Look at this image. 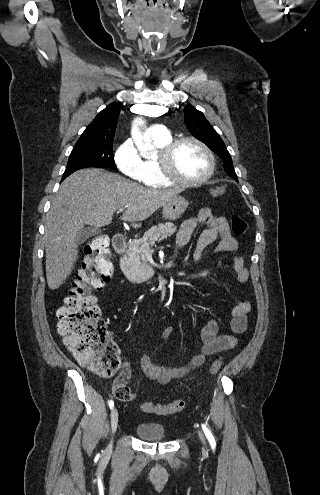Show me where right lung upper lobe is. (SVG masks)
<instances>
[{"mask_svg": "<svg viewBox=\"0 0 320 495\" xmlns=\"http://www.w3.org/2000/svg\"><path fill=\"white\" fill-rule=\"evenodd\" d=\"M120 104L111 103L84 130L76 145L113 144Z\"/></svg>", "mask_w": 320, "mask_h": 495, "instance_id": "obj_1", "label": "right lung upper lobe"}]
</instances>
